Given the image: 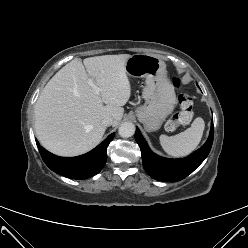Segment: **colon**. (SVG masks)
<instances>
[{
	"instance_id": "colon-1",
	"label": "colon",
	"mask_w": 248,
	"mask_h": 248,
	"mask_svg": "<svg viewBox=\"0 0 248 248\" xmlns=\"http://www.w3.org/2000/svg\"><path fill=\"white\" fill-rule=\"evenodd\" d=\"M173 82L174 85L177 87L181 85V81L179 77H175ZM178 103L180 110L176 112L166 124V128L171 131L175 130L179 126L187 124L192 117L193 107H194L193 97L186 92H182L179 95Z\"/></svg>"
}]
</instances>
